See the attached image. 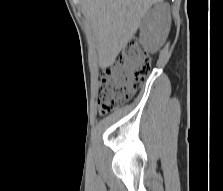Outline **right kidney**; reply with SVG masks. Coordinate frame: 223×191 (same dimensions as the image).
I'll list each match as a JSON object with an SVG mask.
<instances>
[{
	"label": "right kidney",
	"instance_id": "ca27d5eb",
	"mask_svg": "<svg viewBox=\"0 0 223 191\" xmlns=\"http://www.w3.org/2000/svg\"><path fill=\"white\" fill-rule=\"evenodd\" d=\"M169 29V13L166 3L156 4L144 17L141 25V42L151 53L164 42Z\"/></svg>",
	"mask_w": 223,
	"mask_h": 191
}]
</instances>
